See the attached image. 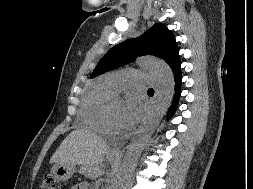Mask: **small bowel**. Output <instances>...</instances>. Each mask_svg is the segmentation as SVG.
Returning <instances> with one entry per match:
<instances>
[{
    "label": "small bowel",
    "instance_id": "c3829d8e",
    "mask_svg": "<svg viewBox=\"0 0 253 189\" xmlns=\"http://www.w3.org/2000/svg\"><path fill=\"white\" fill-rule=\"evenodd\" d=\"M72 189H88V187L86 184L80 183V184L73 186Z\"/></svg>",
    "mask_w": 253,
    "mask_h": 189
}]
</instances>
